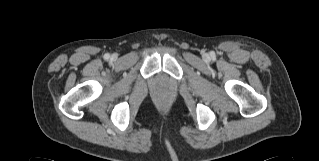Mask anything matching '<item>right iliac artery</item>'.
<instances>
[{"mask_svg": "<svg viewBox=\"0 0 319 161\" xmlns=\"http://www.w3.org/2000/svg\"><path fill=\"white\" fill-rule=\"evenodd\" d=\"M110 58V54L109 53H106L105 55H104V59H109Z\"/></svg>", "mask_w": 319, "mask_h": 161, "instance_id": "right-iliac-artery-1", "label": "right iliac artery"}]
</instances>
